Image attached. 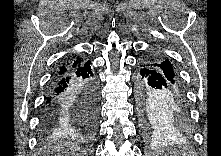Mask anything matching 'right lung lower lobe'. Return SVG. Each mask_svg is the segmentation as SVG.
Wrapping results in <instances>:
<instances>
[{"label": "right lung lower lobe", "mask_w": 221, "mask_h": 156, "mask_svg": "<svg viewBox=\"0 0 221 156\" xmlns=\"http://www.w3.org/2000/svg\"><path fill=\"white\" fill-rule=\"evenodd\" d=\"M99 104L98 85L90 62L57 73L45 99L40 118L44 133L74 127H93Z\"/></svg>", "instance_id": "right-lung-lower-lobe-1"}]
</instances>
